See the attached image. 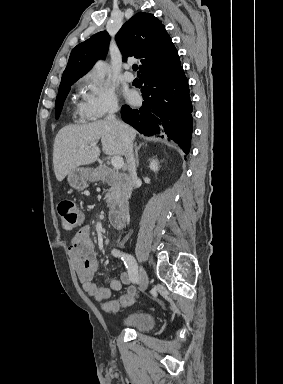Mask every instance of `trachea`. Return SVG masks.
Returning a JSON list of instances; mask_svg holds the SVG:
<instances>
[{"instance_id":"trachea-1","label":"trachea","mask_w":283,"mask_h":384,"mask_svg":"<svg viewBox=\"0 0 283 384\" xmlns=\"http://www.w3.org/2000/svg\"><path fill=\"white\" fill-rule=\"evenodd\" d=\"M138 69V66L137 65H133V70H137Z\"/></svg>"}]
</instances>
